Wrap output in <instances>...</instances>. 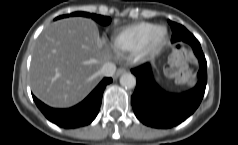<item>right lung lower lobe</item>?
I'll list each match as a JSON object with an SVG mask.
<instances>
[{"mask_svg": "<svg viewBox=\"0 0 238 145\" xmlns=\"http://www.w3.org/2000/svg\"><path fill=\"white\" fill-rule=\"evenodd\" d=\"M111 82V78H104L81 103L67 109L51 108L35 96L33 99L40 111L52 123L66 129L78 128L90 124L95 119L101 106L104 89Z\"/></svg>", "mask_w": 238, "mask_h": 145, "instance_id": "98d812e1", "label": "right lung lower lobe"}]
</instances>
